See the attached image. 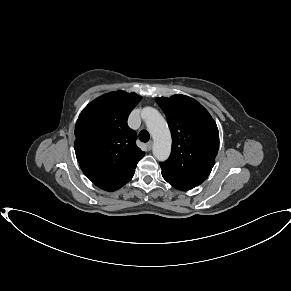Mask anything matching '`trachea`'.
Returning a JSON list of instances; mask_svg holds the SVG:
<instances>
[{
  "label": "trachea",
  "mask_w": 291,
  "mask_h": 291,
  "mask_svg": "<svg viewBox=\"0 0 291 291\" xmlns=\"http://www.w3.org/2000/svg\"><path fill=\"white\" fill-rule=\"evenodd\" d=\"M139 139L142 142H147L150 139L149 132L147 130L140 131V133H139Z\"/></svg>",
  "instance_id": "3493384b"
}]
</instances>
